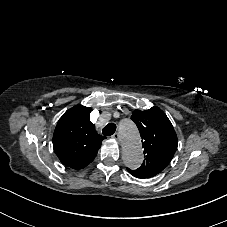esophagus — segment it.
Masks as SVG:
<instances>
[{
	"instance_id": "1",
	"label": "esophagus",
	"mask_w": 227,
	"mask_h": 227,
	"mask_svg": "<svg viewBox=\"0 0 227 227\" xmlns=\"http://www.w3.org/2000/svg\"><path fill=\"white\" fill-rule=\"evenodd\" d=\"M113 139H115L117 142H120V137H119V134L118 133H115L113 136H112Z\"/></svg>"
}]
</instances>
